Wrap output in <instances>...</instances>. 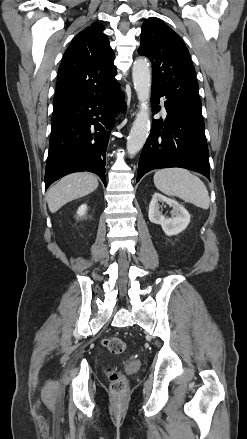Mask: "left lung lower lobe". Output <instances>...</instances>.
Here are the masks:
<instances>
[{
  "label": "left lung lower lobe",
  "instance_id": "1",
  "mask_svg": "<svg viewBox=\"0 0 247 439\" xmlns=\"http://www.w3.org/2000/svg\"><path fill=\"white\" fill-rule=\"evenodd\" d=\"M165 96V122L154 120L143 147L137 182L153 169L181 167L199 172L209 180V154L202 111L184 104L168 92L152 87L153 107ZM160 108L156 106L157 110ZM157 111H154L155 114Z\"/></svg>",
  "mask_w": 247,
  "mask_h": 439
}]
</instances>
